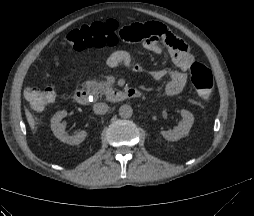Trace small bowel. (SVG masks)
I'll return each mask as SVG.
<instances>
[{
    "label": "small bowel",
    "instance_id": "obj_1",
    "mask_svg": "<svg viewBox=\"0 0 254 216\" xmlns=\"http://www.w3.org/2000/svg\"><path fill=\"white\" fill-rule=\"evenodd\" d=\"M117 37L120 41L131 44L143 42L145 48L154 53L170 52L175 68L155 70L149 76L153 81L168 78L165 87L167 95L174 96L183 91L187 82L185 71L191 65L193 57L189 52L188 45L175 33L170 32L159 23L146 22L120 26L117 30ZM54 63L55 66L59 64L57 59ZM105 64L111 68L120 65L131 66L132 59L128 52L117 50L107 57ZM133 68L138 70L139 66L135 64Z\"/></svg>",
    "mask_w": 254,
    "mask_h": 216
}]
</instances>
